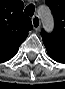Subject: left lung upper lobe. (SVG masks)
<instances>
[{
	"label": "left lung upper lobe",
	"mask_w": 65,
	"mask_h": 89,
	"mask_svg": "<svg viewBox=\"0 0 65 89\" xmlns=\"http://www.w3.org/2000/svg\"><path fill=\"white\" fill-rule=\"evenodd\" d=\"M46 3L54 15L55 29L51 34L42 30L41 34L43 38L65 44V0H46Z\"/></svg>",
	"instance_id": "1"
}]
</instances>
